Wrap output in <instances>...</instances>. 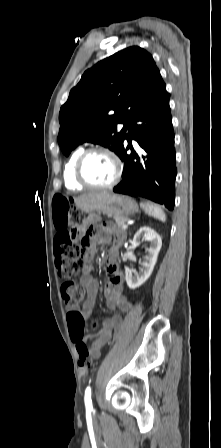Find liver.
Instances as JSON below:
<instances>
[{"label":"liver","instance_id":"liver-1","mask_svg":"<svg viewBox=\"0 0 221 448\" xmlns=\"http://www.w3.org/2000/svg\"><path fill=\"white\" fill-rule=\"evenodd\" d=\"M87 195H90V194H86V195H83V196H81V197H85V196H87ZM81 197H80V198H81ZM78 199H79V198H78ZM78 199H77V200H78Z\"/></svg>","mask_w":221,"mask_h":448}]
</instances>
